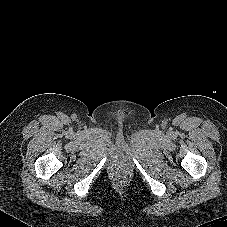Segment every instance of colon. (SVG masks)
I'll list each match as a JSON object with an SVG mask.
<instances>
[{"label":"colon","mask_w":227,"mask_h":227,"mask_svg":"<svg viewBox=\"0 0 227 227\" xmlns=\"http://www.w3.org/2000/svg\"><path fill=\"white\" fill-rule=\"evenodd\" d=\"M120 179V181H122L123 180V178H119Z\"/></svg>","instance_id":"1"}]
</instances>
